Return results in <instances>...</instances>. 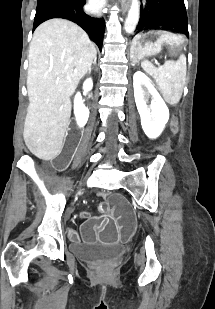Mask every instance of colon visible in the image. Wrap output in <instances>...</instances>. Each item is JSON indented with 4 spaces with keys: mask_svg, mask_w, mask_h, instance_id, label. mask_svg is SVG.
Returning a JSON list of instances; mask_svg holds the SVG:
<instances>
[{
    "mask_svg": "<svg viewBox=\"0 0 215 309\" xmlns=\"http://www.w3.org/2000/svg\"><path fill=\"white\" fill-rule=\"evenodd\" d=\"M176 122H177V118H176V116L174 115V117H173V125H174V128L176 127Z\"/></svg>",
    "mask_w": 215,
    "mask_h": 309,
    "instance_id": "5ec220e1",
    "label": "colon"
}]
</instances>
